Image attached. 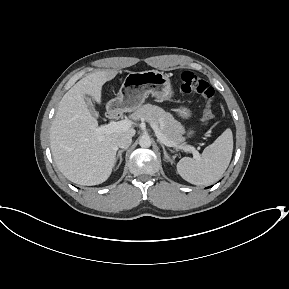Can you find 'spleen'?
Returning a JSON list of instances; mask_svg holds the SVG:
<instances>
[{
    "instance_id": "obj_1",
    "label": "spleen",
    "mask_w": 289,
    "mask_h": 289,
    "mask_svg": "<svg viewBox=\"0 0 289 289\" xmlns=\"http://www.w3.org/2000/svg\"><path fill=\"white\" fill-rule=\"evenodd\" d=\"M232 152L233 135L228 128L204 149L199 158H182L177 164V172L191 184L209 185L223 175L230 163Z\"/></svg>"
}]
</instances>
